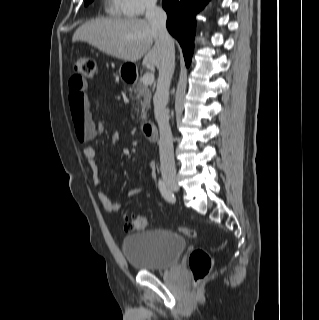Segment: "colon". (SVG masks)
I'll return each mask as SVG.
<instances>
[{
	"instance_id": "obj_1",
	"label": "colon",
	"mask_w": 319,
	"mask_h": 320,
	"mask_svg": "<svg viewBox=\"0 0 319 320\" xmlns=\"http://www.w3.org/2000/svg\"><path fill=\"white\" fill-rule=\"evenodd\" d=\"M73 70L76 77L79 79L84 81L89 80L92 79L95 74L96 64L93 58L81 56L74 60ZM72 119L76 138L79 142L85 143L95 137L92 125L83 114L75 113L73 114ZM149 225V218L145 215L131 214L125 218V228L131 232L144 230ZM178 232L190 238H195L197 236L196 230L191 228L180 227L178 228ZM188 265L194 282L199 283L210 273L212 259L204 249L197 248L189 255Z\"/></svg>"
}]
</instances>
